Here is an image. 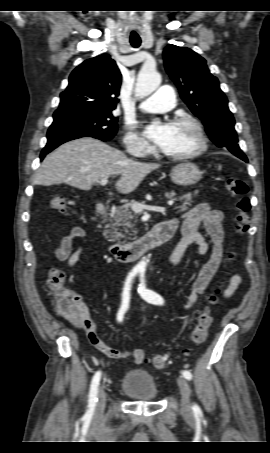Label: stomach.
I'll return each instance as SVG.
<instances>
[{"instance_id":"obj_1","label":"stomach","mask_w":270,"mask_h":453,"mask_svg":"<svg viewBox=\"0 0 270 453\" xmlns=\"http://www.w3.org/2000/svg\"><path fill=\"white\" fill-rule=\"evenodd\" d=\"M171 180L180 186H191L199 182L202 173L194 163L186 162L176 165L170 172Z\"/></svg>"}]
</instances>
